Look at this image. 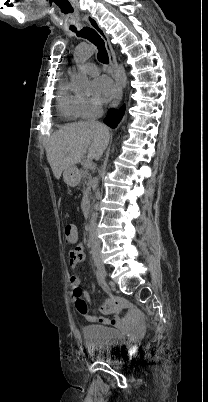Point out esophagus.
Returning a JSON list of instances; mask_svg holds the SVG:
<instances>
[{
  "label": "esophagus",
  "instance_id": "obj_1",
  "mask_svg": "<svg viewBox=\"0 0 208 402\" xmlns=\"http://www.w3.org/2000/svg\"><path fill=\"white\" fill-rule=\"evenodd\" d=\"M84 20L92 28H94V30H96V32L104 40L105 47H106L108 57H109L110 66L113 69L114 78H115L116 87H117V92H116L115 98L111 104V107L112 108L117 107L122 100L123 91H122V86H121V83L119 80V70H118L117 59H116L114 49L110 43V39H109L107 33L105 32L104 28L98 23L96 18H94L92 15L87 14L84 16Z\"/></svg>",
  "mask_w": 208,
  "mask_h": 402
}]
</instances>
